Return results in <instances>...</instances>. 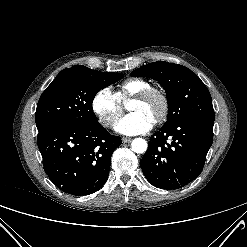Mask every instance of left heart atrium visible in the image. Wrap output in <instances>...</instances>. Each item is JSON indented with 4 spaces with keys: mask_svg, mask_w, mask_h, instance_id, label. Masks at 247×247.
<instances>
[{
    "mask_svg": "<svg viewBox=\"0 0 247 247\" xmlns=\"http://www.w3.org/2000/svg\"><path fill=\"white\" fill-rule=\"evenodd\" d=\"M155 121L141 112H131L115 124V130L124 135H138L149 131Z\"/></svg>",
    "mask_w": 247,
    "mask_h": 247,
    "instance_id": "39dd6f15",
    "label": "left heart atrium"
}]
</instances>
